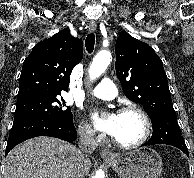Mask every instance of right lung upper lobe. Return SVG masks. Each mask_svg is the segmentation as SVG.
<instances>
[{
    "mask_svg": "<svg viewBox=\"0 0 194 178\" xmlns=\"http://www.w3.org/2000/svg\"><path fill=\"white\" fill-rule=\"evenodd\" d=\"M82 57V40L67 29L39 42L23 63L17 101L67 91L70 74Z\"/></svg>",
    "mask_w": 194,
    "mask_h": 178,
    "instance_id": "cb5924a9",
    "label": "right lung upper lobe"
}]
</instances>
